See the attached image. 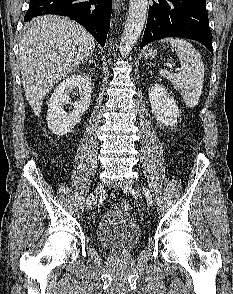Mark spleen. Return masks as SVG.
Here are the masks:
<instances>
[{"label": "spleen", "mask_w": 233, "mask_h": 294, "mask_svg": "<svg viewBox=\"0 0 233 294\" xmlns=\"http://www.w3.org/2000/svg\"><path fill=\"white\" fill-rule=\"evenodd\" d=\"M160 42L170 43L175 48L181 71L171 73L167 70H159V74L179 90L187 107H195L199 102L204 83V65L199 51L190 42L181 38L170 37Z\"/></svg>", "instance_id": "obj_1"}]
</instances>
